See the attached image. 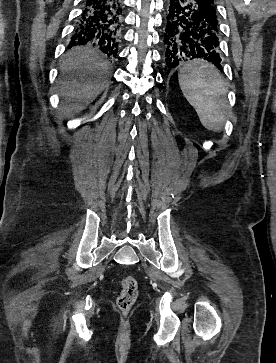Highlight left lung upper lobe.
<instances>
[{"instance_id": "left-lung-upper-lobe-1", "label": "left lung upper lobe", "mask_w": 276, "mask_h": 363, "mask_svg": "<svg viewBox=\"0 0 276 363\" xmlns=\"http://www.w3.org/2000/svg\"><path fill=\"white\" fill-rule=\"evenodd\" d=\"M212 6L216 8L215 0H207Z\"/></svg>"}]
</instances>
